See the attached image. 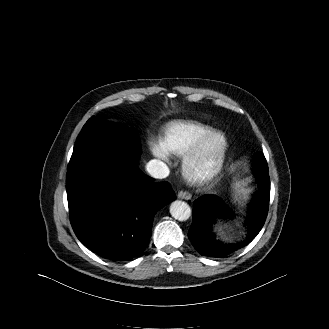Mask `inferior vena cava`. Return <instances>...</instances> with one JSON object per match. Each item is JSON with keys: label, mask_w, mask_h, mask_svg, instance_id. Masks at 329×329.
Segmentation results:
<instances>
[{"label": "inferior vena cava", "mask_w": 329, "mask_h": 329, "mask_svg": "<svg viewBox=\"0 0 329 329\" xmlns=\"http://www.w3.org/2000/svg\"><path fill=\"white\" fill-rule=\"evenodd\" d=\"M146 170L153 178L158 179L166 178L170 173L168 166L157 159L150 160L146 165Z\"/></svg>", "instance_id": "inferior-vena-cava-1"}]
</instances>
